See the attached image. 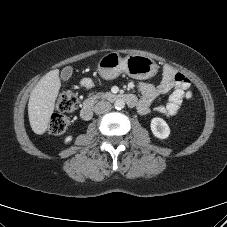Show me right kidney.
<instances>
[{"instance_id": "ca27d5eb", "label": "right kidney", "mask_w": 227, "mask_h": 227, "mask_svg": "<svg viewBox=\"0 0 227 227\" xmlns=\"http://www.w3.org/2000/svg\"><path fill=\"white\" fill-rule=\"evenodd\" d=\"M72 140V136L69 135L65 138V143H69Z\"/></svg>"}]
</instances>
